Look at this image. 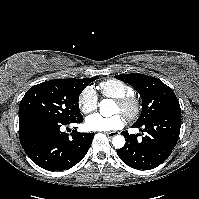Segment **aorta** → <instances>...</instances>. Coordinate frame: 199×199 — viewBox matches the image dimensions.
I'll return each mask as SVG.
<instances>
[{"label": "aorta", "mask_w": 199, "mask_h": 199, "mask_svg": "<svg viewBox=\"0 0 199 199\" xmlns=\"http://www.w3.org/2000/svg\"><path fill=\"white\" fill-rule=\"evenodd\" d=\"M116 111V103L111 99H103L100 102V114L103 117H110ZM112 144L115 148H122L125 145V138L122 135L113 137Z\"/></svg>", "instance_id": "762f6f07"}]
</instances>
